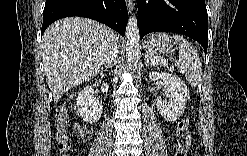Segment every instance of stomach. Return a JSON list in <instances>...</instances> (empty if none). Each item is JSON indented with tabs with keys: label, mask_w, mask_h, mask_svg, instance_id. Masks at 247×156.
Returning a JSON list of instances; mask_svg holds the SVG:
<instances>
[{
	"label": "stomach",
	"mask_w": 247,
	"mask_h": 156,
	"mask_svg": "<svg viewBox=\"0 0 247 156\" xmlns=\"http://www.w3.org/2000/svg\"><path fill=\"white\" fill-rule=\"evenodd\" d=\"M173 45L172 37L167 33H153L144 42V49L147 55L157 58L168 52Z\"/></svg>",
	"instance_id": "obj_1"
}]
</instances>
